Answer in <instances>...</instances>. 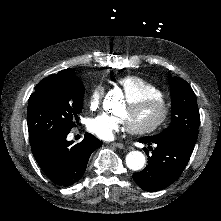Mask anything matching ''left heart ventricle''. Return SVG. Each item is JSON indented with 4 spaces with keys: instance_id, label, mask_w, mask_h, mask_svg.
Wrapping results in <instances>:
<instances>
[{
    "instance_id": "1",
    "label": "left heart ventricle",
    "mask_w": 221,
    "mask_h": 221,
    "mask_svg": "<svg viewBox=\"0 0 221 221\" xmlns=\"http://www.w3.org/2000/svg\"><path fill=\"white\" fill-rule=\"evenodd\" d=\"M157 118V111L151 105H144L138 108L134 113V120L140 126H147L153 123Z\"/></svg>"
}]
</instances>
